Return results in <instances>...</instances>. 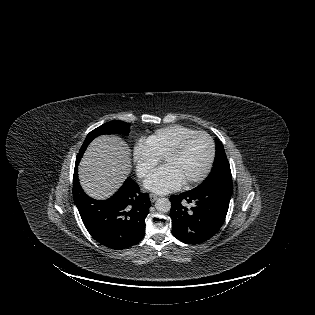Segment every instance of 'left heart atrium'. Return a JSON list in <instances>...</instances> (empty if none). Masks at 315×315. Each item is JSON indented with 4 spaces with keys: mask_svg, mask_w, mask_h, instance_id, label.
Wrapping results in <instances>:
<instances>
[{
    "mask_svg": "<svg viewBox=\"0 0 315 315\" xmlns=\"http://www.w3.org/2000/svg\"><path fill=\"white\" fill-rule=\"evenodd\" d=\"M184 181L169 166L164 165L155 170L145 181L144 186L156 193H168L179 188Z\"/></svg>",
    "mask_w": 315,
    "mask_h": 315,
    "instance_id": "39dd6f15",
    "label": "left heart atrium"
}]
</instances>
